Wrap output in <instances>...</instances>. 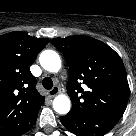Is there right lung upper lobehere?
<instances>
[{"mask_svg":"<svg viewBox=\"0 0 136 136\" xmlns=\"http://www.w3.org/2000/svg\"><path fill=\"white\" fill-rule=\"evenodd\" d=\"M48 42L21 31L0 36V136H20L35 123L45 97L30 66Z\"/></svg>","mask_w":136,"mask_h":136,"instance_id":"1","label":"right lung upper lobe"}]
</instances>
